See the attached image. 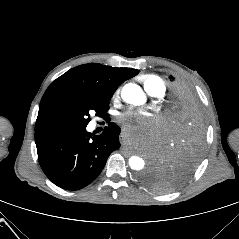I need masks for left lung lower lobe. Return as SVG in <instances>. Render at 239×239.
<instances>
[{
	"label": "left lung lower lobe",
	"instance_id": "left-lung-lower-lobe-1",
	"mask_svg": "<svg viewBox=\"0 0 239 239\" xmlns=\"http://www.w3.org/2000/svg\"><path fill=\"white\" fill-rule=\"evenodd\" d=\"M191 121V129H195V131H201L202 127H203V112L200 108L198 107H195V108H191V110H187V112H185V121ZM194 131V130H193ZM171 139V136L170 134L167 135L166 137V140H165V143L163 145V147H165V145H167V143H169ZM193 147H198L199 144H196V140L192 142L191 144ZM191 146V147H192ZM188 153V152H187ZM190 153V152H189ZM159 156L156 157L154 160H153V163H152V166H156L158 165L157 163H159V160H158Z\"/></svg>",
	"mask_w": 239,
	"mask_h": 239
}]
</instances>
